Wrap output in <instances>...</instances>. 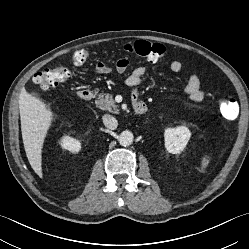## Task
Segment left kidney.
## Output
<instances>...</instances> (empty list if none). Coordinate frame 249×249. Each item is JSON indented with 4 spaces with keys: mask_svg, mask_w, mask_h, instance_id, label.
Instances as JSON below:
<instances>
[{
    "mask_svg": "<svg viewBox=\"0 0 249 249\" xmlns=\"http://www.w3.org/2000/svg\"><path fill=\"white\" fill-rule=\"evenodd\" d=\"M191 132L186 126L167 128L164 133L165 147L169 153L179 154L186 147Z\"/></svg>",
    "mask_w": 249,
    "mask_h": 249,
    "instance_id": "obj_1",
    "label": "left kidney"
}]
</instances>
